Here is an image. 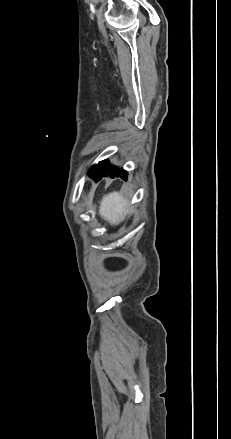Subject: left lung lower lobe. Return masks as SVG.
<instances>
[{
    "instance_id": "1",
    "label": "left lung lower lobe",
    "mask_w": 231,
    "mask_h": 439,
    "mask_svg": "<svg viewBox=\"0 0 231 439\" xmlns=\"http://www.w3.org/2000/svg\"><path fill=\"white\" fill-rule=\"evenodd\" d=\"M88 175L95 181L101 180L102 177L107 176L110 178L121 177L122 179L127 180L128 173L122 168L119 169L116 166H112L109 161L104 160L91 167Z\"/></svg>"
}]
</instances>
